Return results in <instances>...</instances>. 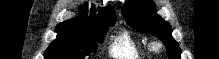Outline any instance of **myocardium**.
Wrapping results in <instances>:
<instances>
[{
	"label": "myocardium",
	"mask_w": 219,
	"mask_h": 59,
	"mask_svg": "<svg viewBox=\"0 0 219 59\" xmlns=\"http://www.w3.org/2000/svg\"><path fill=\"white\" fill-rule=\"evenodd\" d=\"M162 48H163V45H162V43L159 42V41H155V42L151 43V45H150V49H151L152 51H155V52L161 51Z\"/></svg>",
	"instance_id": "obj_1"
}]
</instances>
